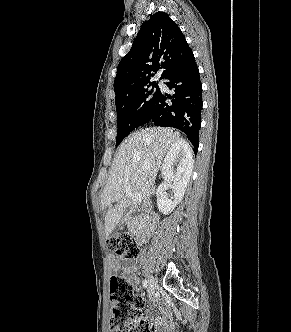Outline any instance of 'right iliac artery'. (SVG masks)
<instances>
[{
  "label": "right iliac artery",
  "instance_id": "82829eb1",
  "mask_svg": "<svg viewBox=\"0 0 291 332\" xmlns=\"http://www.w3.org/2000/svg\"><path fill=\"white\" fill-rule=\"evenodd\" d=\"M142 284H143V287H144V288H147V286H148V282H147V280H143V281H142Z\"/></svg>",
  "mask_w": 291,
  "mask_h": 332
}]
</instances>
